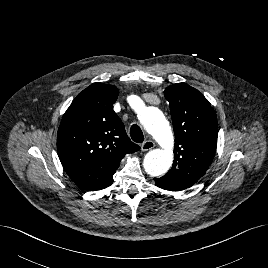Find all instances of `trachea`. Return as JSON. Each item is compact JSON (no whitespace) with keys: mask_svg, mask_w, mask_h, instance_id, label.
<instances>
[{"mask_svg":"<svg viewBox=\"0 0 268 268\" xmlns=\"http://www.w3.org/2000/svg\"><path fill=\"white\" fill-rule=\"evenodd\" d=\"M130 136L132 140L136 143H141L144 141V135L141 128L137 124H133L130 128Z\"/></svg>","mask_w":268,"mask_h":268,"instance_id":"obj_1","label":"trachea"}]
</instances>
